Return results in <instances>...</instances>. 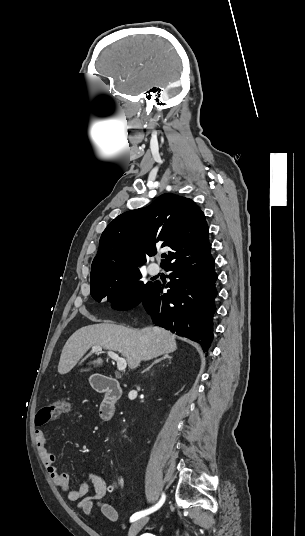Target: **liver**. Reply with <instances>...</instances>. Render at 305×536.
I'll return each instance as SVG.
<instances>
[{
	"mask_svg": "<svg viewBox=\"0 0 305 536\" xmlns=\"http://www.w3.org/2000/svg\"><path fill=\"white\" fill-rule=\"evenodd\" d=\"M92 346L119 352L132 370L143 360H153L163 354L168 356L177 350L175 336L164 328L148 326L143 330H130L116 324H94L80 328L67 340L58 364L59 374H68ZM91 364L102 366L103 360L98 358Z\"/></svg>",
	"mask_w": 305,
	"mask_h": 536,
	"instance_id": "liver-1",
	"label": "liver"
}]
</instances>
